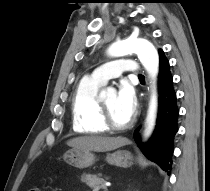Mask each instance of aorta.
<instances>
[{
  "instance_id": "obj_1",
  "label": "aorta",
  "mask_w": 210,
  "mask_h": 191,
  "mask_svg": "<svg viewBox=\"0 0 210 191\" xmlns=\"http://www.w3.org/2000/svg\"><path fill=\"white\" fill-rule=\"evenodd\" d=\"M130 53H136L140 62L148 72L153 81V90L151 100L149 102V109L146 118L145 137H149L154 129L157 118V92L156 80L159 71V55L152 43L140 38H126L112 44L108 49V55L111 57H121ZM113 88H107L100 93V97L104 98L107 94H115Z\"/></svg>"
}]
</instances>
